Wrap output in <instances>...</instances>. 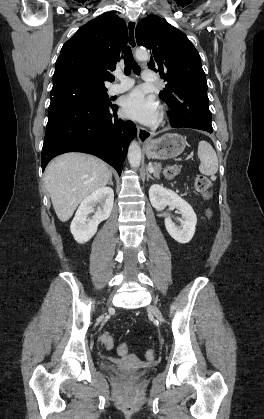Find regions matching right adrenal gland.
Instances as JSON below:
<instances>
[{
    "label": "right adrenal gland",
    "mask_w": 264,
    "mask_h": 419,
    "mask_svg": "<svg viewBox=\"0 0 264 419\" xmlns=\"http://www.w3.org/2000/svg\"><path fill=\"white\" fill-rule=\"evenodd\" d=\"M108 184H109V185H112V186L114 185V184H113V181H112V177L110 178V180H109V183H108Z\"/></svg>",
    "instance_id": "1"
}]
</instances>
